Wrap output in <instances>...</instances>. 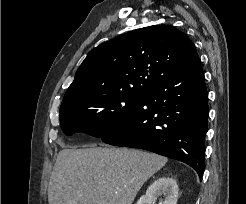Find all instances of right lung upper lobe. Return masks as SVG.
<instances>
[{"instance_id": "obj_1", "label": "right lung upper lobe", "mask_w": 246, "mask_h": 204, "mask_svg": "<svg viewBox=\"0 0 246 204\" xmlns=\"http://www.w3.org/2000/svg\"><path fill=\"white\" fill-rule=\"evenodd\" d=\"M197 60L194 44L171 25L130 31L88 53L61 107L101 95L143 93Z\"/></svg>"}]
</instances>
